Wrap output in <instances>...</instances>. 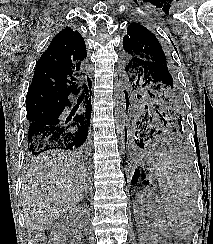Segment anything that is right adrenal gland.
Masks as SVG:
<instances>
[{"label": "right adrenal gland", "mask_w": 213, "mask_h": 244, "mask_svg": "<svg viewBox=\"0 0 213 244\" xmlns=\"http://www.w3.org/2000/svg\"><path fill=\"white\" fill-rule=\"evenodd\" d=\"M84 197H85L86 199H88V190H87V187L85 188L84 195H83L82 199H83Z\"/></svg>", "instance_id": "1"}]
</instances>
